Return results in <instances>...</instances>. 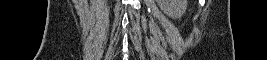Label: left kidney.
<instances>
[{
	"instance_id": "1",
	"label": "left kidney",
	"mask_w": 267,
	"mask_h": 60,
	"mask_svg": "<svg viewBox=\"0 0 267 60\" xmlns=\"http://www.w3.org/2000/svg\"><path fill=\"white\" fill-rule=\"evenodd\" d=\"M160 9L172 19L181 18L187 9V0H156Z\"/></svg>"
}]
</instances>
